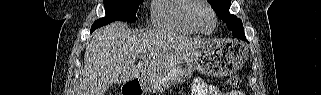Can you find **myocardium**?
I'll return each mask as SVG.
<instances>
[{
  "label": "myocardium",
  "instance_id": "myocardium-1",
  "mask_svg": "<svg viewBox=\"0 0 321 95\" xmlns=\"http://www.w3.org/2000/svg\"><path fill=\"white\" fill-rule=\"evenodd\" d=\"M192 1H193V5L191 6V8L189 10V18H190L192 24L194 25L196 30L201 34L212 33L215 30L216 24H217L215 11L211 7V5L205 0H192ZM199 7H205L210 12V15L212 18V23H213L212 28L210 30H204L203 28H201L196 20L195 12Z\"/></svg>",
  "mask_w": 321,
  "mask_h": 95
}]
</instances>
